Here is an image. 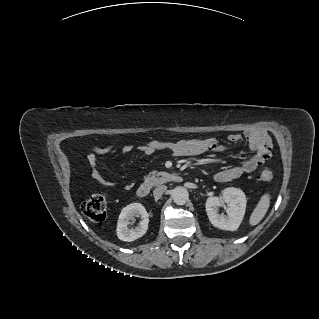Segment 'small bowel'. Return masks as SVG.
<instances>
[{"label":"small bowel","instance_id":"c3829d8e","mask_svg":"<svg viewBox=\"0 0 319 319\" xmlns=\"http://www.w3.org/2000/svg\"><path fill=\"white\" fill-rule=\"evenodd\" d=\"M241 135L233 133L228 136L231 144H237L241 141ZM250 149L254 155L244 162L226 167L215 173L214 178L218 182H228L240 178L242 175L251 173L259 166L265 163L266 157L260 152L261 145L269 141L265 132H251L247 134ZM230 149V146L220 143L216 138L202 139H182L173 142L166 141H147L140 146V152L144 155H152L157 151H167L174 157H200L209 153H223ZM133 151V145L128 144L122 148V152L130 154ZM116 152V147L106 145L95 148L88 156L89 173L91 178L105 186H114L115 183L102 171L98 165V156H105ZM124 188L132 187L131 183H125Z\"/></svg>","mask_w":319,"mask_h":319}]
</instances>
